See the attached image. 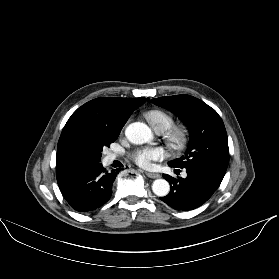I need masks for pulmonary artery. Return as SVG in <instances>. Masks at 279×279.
<instances>
[{
    "instance_id": "obj_1",
    "label": "pulmonary artery",
    "mask_w": 279,
    "mask_h": 279,
    "mask_svg": "<svg viewBox=\"0 0 279 279\" xmlns=\"http://www.w3.org/2000/svg\"><path fill=\"white\" fill-rule=\"evenodd\" d=\"M115 157H116L115 154H110V155H108L107 160L112 161L113 159H115ZM183 176H186V173H184Z\"/></svg>"
}]
</instances>
